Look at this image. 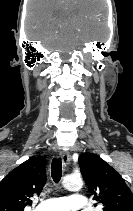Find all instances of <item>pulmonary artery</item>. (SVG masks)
<instances>
[{"instance_id":"pulmonary-artery-1","label":"pulmonary artery","mask_w":133,"mask_h":211,"mask_svg":"<svg viewBox=\"0 0 133 211\" xmlns=\"http://www.w3.org/2000/svg\"><path fill=\"white\" fill-rule=\"evenodd\" d=\"M86 198L78 193L67 197L49 198L42 201L34 211H86Z\"/></svg>"}]
</instances>
